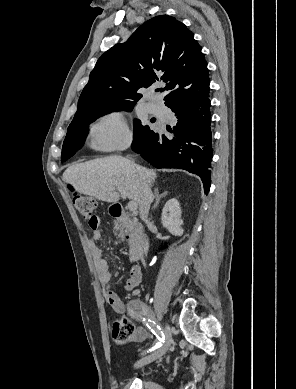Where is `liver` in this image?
Listing matches in <instances>:
<instances>
[{
    "label": "liver",
    "instance_id": "liver-1",
    "mask_svg": "<svg viewBox=\"0 0 296 389\" xmlns=\"http://www.w3.org/2000/svg\"><path fill=\"white\" fill-rule=\"evenodd\" d=\"M141 175L149 186L157 178L155 171L115 155L74 164L64 171L62 179L77 192L105 202H117L123 191L140 208Z\"/></svg>",
    "mask_w": 296,
    "mask_h": 389
}]
</instances>
